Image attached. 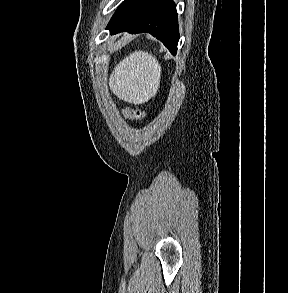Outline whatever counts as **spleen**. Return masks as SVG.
Masks as SVG:
<instances>
[{
	"instance_id": "3e777b00",
	"label": "spleen",
	"mask_w": 288,
	"mask_h": 293,
	"mask_svg": "<svg viewBox=\"0 0 288 293\" xmlns=\"http://www.w3.org/2000/svg\"><path fill=\"white\" fill-rule=\"evenodd\" d=\"M161 66L145 51H135L118 63L109 78L112 92L122 100L141 104L155 96L159 88Z\"/></svg>"
}]
</instances>
